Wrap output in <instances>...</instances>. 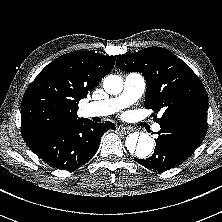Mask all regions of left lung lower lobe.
Returning a JSON list of instances; mask_svg holds the SVG:
<instances>
[{"instance_id": "0a47b994", "label": "left lung lower lobe", "mask_w": 222, "mask_h": 222, "mask_svg": "<svg viewBox=\"0 0 222 222\" xmlns=\"http://www.w3.org/2000/svg\"><path fill=\"white\" fill-rule=\"evenodd\" d=\"M161 129L155 139L153 155L147 159L135 158L146 168L165 171L179 166L200 146L206 132L207 124L193 120H170L159 123Z\"/></svg>"}]
</instances>
